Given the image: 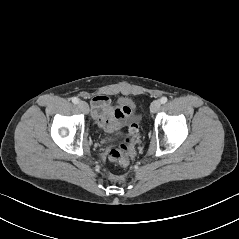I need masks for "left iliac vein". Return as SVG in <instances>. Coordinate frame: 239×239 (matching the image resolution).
<instances>
[{"mask_svg":"<svg viewBox=\"0 0 239 239\" xmlns=\"http://www.w3.org/2000/svg\"><path fill=\"white\" fill-rule=\"evenodd\" d=\"M161 102L159 100H154L150 105L151 113H155L160 109Z\"/></svg>","mask_w":239,"mask_h":239,"instance_id":"1","label":"left iliac vein"}]
</instances>
